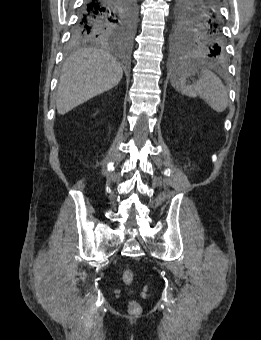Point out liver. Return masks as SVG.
Masks as SVG:
<instances>
[{"mask_svg": "<svg viewBox=\"0 0 261 340\" xmlns=\"http://www.w3.org/2000/svg\"><path fill=\"white\" fill-rule=\"evenodd\" d=\"M123 70L107 51L83 48L64 63L58 85L56 107L64 115L89 99L116 86Z\"/></svg>", "mask_w": 261, "mask_h": 340, "instance_id": "obj_1", "label": "liver"}]
</instances>
